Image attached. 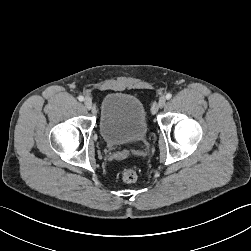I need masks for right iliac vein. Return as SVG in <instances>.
Wrapping results in <instances>:
<instances>
[{
    "mask_svg": "<svg viewBox=\"0 0 251 251\" xmlns=\"http://www.w3.org/2000/svg\"><path fill=\"white\" fill-rule=\"evenodd\" d=\"M84 105H85V107H86L88 110H90V109L92 108V101H91V99H90V98H86V99L84 100Z\"/></svg>",
    "mask_w": 251,
    "mask_h": 251,
    "instance_id": "63e3f726",
    "label": "right iliac vein"
}]
</instances>
